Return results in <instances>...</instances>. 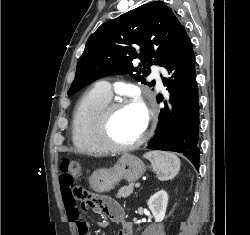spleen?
Segmentation results:
<instances>
[{
	"label": "spleen",
	"mask_w": 250,
	"mask_h": 235,
	"mask_svg": "<svg viewBox=\"0 0 250 235\" xmlns=\"http://www.w3.org/2000/svg\"><path fill=\"white\" fill-rule=\"evenodd\" d=\"M143 157L151 162L153 171L160 181L173 179L180 170V159L173 153L149 151Z\"/></svg>",
	"instance_id": "spleen-1"
}]
</instances>
